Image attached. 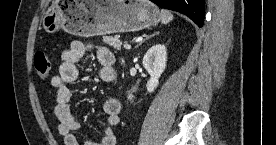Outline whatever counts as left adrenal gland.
Listing matches in <instances>:
<instances>
[{
	"instance_id": "a2214340",
	"label": "left adrenal gland",
	"mask_w": 276,
	"mask_h": 145,
	"mask_svg": "<svg viewBox=\"0 0 276 145\" xmlns=\"http://www.w3.org/2000/svg\"><path fill=\"white\" fill-rule=\"evenodd\" d=\"M155 35H159V32H156L150 36H147L145 39H143L136 47H138L139 45H141L143 42H145L146 40L150 39L151 37H154Z\"/></svg>"
}]
</instances>
